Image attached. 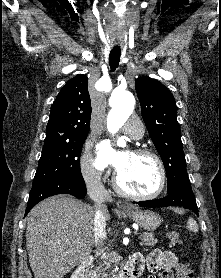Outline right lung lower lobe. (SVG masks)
Instances as JSON below:
<instances>
[{"label": "right lung lower lobe", "mask_w": 221, "mask_h": 278, "mask_svg": "<svg viewBox=\"0 0 221 278\" xmlns=\"http://www.w3.org/2000/svg\"><path fill=\"white\" fill-rule=\"evenodd\" d=\"M57 194H71L82 199L86 196L85 182H79L67 178L58 179L45 184L38 189L31 190L25 215H27L31 208L41 200Z\"/></svg>", "instance_id": "98d812e1"}]
</instances>
